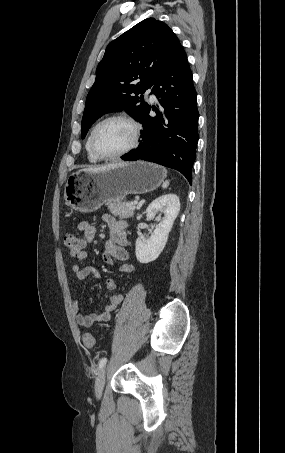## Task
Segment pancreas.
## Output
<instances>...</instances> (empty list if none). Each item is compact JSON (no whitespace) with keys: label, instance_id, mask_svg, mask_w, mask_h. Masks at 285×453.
I'll list each match as a JSON object with an SVG mask.
<instances>
[{"label":"pancreas","instance_id":"cf45deb5","mask_svg":"<svg viewBox=\"0 0 285 453\" xmlns=\"http://www.w3.org/2000/svg\"><path fill=\"white\" fill-rule=\"evenodd\" d=\"M108 210L120 219H128L134 216V210L130 209V204L126 201L117 203H107Z\"/></svg>","mask_w":285,"mask_h":453}]
</instances>
